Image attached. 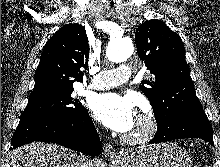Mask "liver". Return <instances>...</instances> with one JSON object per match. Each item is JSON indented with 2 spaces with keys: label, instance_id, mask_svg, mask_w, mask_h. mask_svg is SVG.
Instances as JSON below:
<instances>
[{
  "label": "liver",
  "instance_id": "6515ba94",
  "mask_svg": "<svg viewBox=\"0 0 220 167\" xmlns=\"http://www.w3.org/2000/svg\"><path fill=\"white\" fill-rule=\"evenodd\" d=\"M78 155L56 144L33 142L13 150L6 167H76ZM93 167H102L98 159Z\"/></svg>",
  "mask_w": 220,
  "mask_h": 167
}]
</instances>
